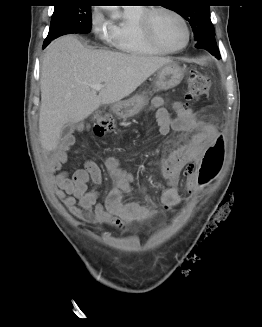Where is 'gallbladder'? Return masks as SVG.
I'll list each match as a JSON object with an SVG mask.
<instances>
[{"label": "gallbladder", "mask_w": 262, "mask_h": 327, "mask_svg": "<svg viewBox=\"0 0 262 327\" xmlns=\"http://www.w3.org/2000/svg\"><path fill=\"white\" fill-rule=\"evenodd\" d=\"M75 129V125L74 124H67L63 130H62V134L67 137L69 135H71L73 133Z\"/></svg>", "instance_id": "obj_1"}]
</instances>
